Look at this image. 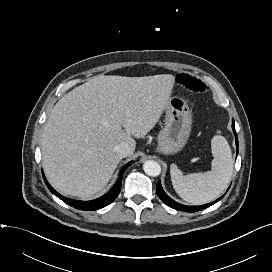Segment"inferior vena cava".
Segmentation results:
<instances>
[{
    "label": "inferior vena cava",
    "instance_id": "602c4592",
    "mask_svg": "<svg viewBox=\"0 0 272 272\" xmlns=\"http://www.w3.org/2000/svg\"><path fill=\"white\" fill-rule=\"evenodd\" d=\"M114 151L120 158H125L130 154V148L127 143H120L114 147Z\"/></svg>",
    "mask_w": 272,
    "mask_h": 272
}]
</instances>
